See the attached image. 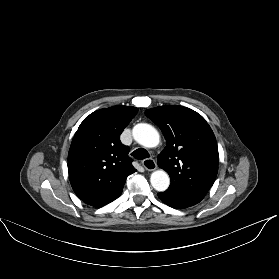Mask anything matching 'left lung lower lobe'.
I'll list each match as a JSON object with an SVG mask.
<instances>
[{
	"mask_svg": "<svg viewBox=\"0 0 279 279\" xmlns=\"http://www.w3.org/2000/svg\"><path fill=\"white\" fill-rule=\"evenodd\" d=\"M158 197L168 206L175 209H183L193 205H196L201 200H198L193 197L185 196L182 194L165 191L158 193Z\"/></svg>",
	"mask_w": 279,
	"mask_h": 279,
	"instance_id": "0a47b994",
	"label": "left lung lower lobe"
}]
</instances>
